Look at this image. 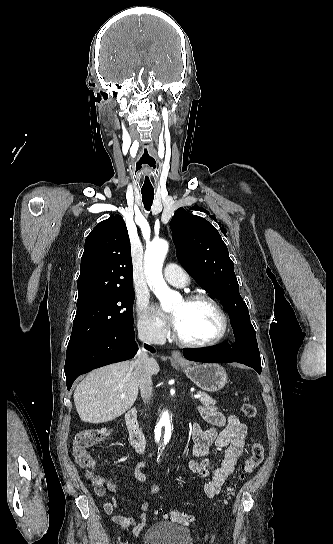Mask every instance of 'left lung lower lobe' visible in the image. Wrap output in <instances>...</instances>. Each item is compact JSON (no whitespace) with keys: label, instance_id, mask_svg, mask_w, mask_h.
Instances as JSON below:
<instances>
[{"label":"left lung lower lobe","instance_id":"0a47b994","mask_svg":"<svg viewBox=\"0 0 333 544\" xmlns=\"http://www.w3.org/2000/svg\"><path fill=\"white\" fill-rule=\"evenodd\" d=\"M184 357L188 360L205 362L214 359L216 362H239L254 368L258 374L261 373V361L258 347L244 349L240 354H232V350L226 344L206 349H184Z\"/></svg>","mask_w":333,"mask_h":544}]
</instances>
